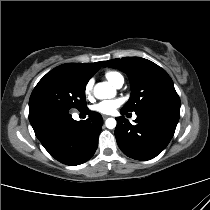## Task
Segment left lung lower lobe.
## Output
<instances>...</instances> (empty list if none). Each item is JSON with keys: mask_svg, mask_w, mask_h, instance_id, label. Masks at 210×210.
<instances>
[{"mask_svg": "<svg viewBox=\"0 0 210 210\" xmlns=\"http://www.w3.org/2000/svg\"><path fill=\"white\" fill-rule=\"evenodd\" d=\"M127 112L123 109L121 114ZM136 125L117 117L115 137L122 152L136 160H150L159 155L174 135L180 110L152 107L135 112Z\"/></svg>", "mask_w": 210, "mask_h": 210, "instance_id": "1", "label": "left lung lower lobe"}]
</instances>
